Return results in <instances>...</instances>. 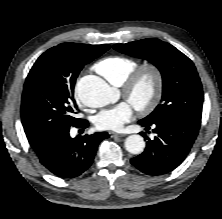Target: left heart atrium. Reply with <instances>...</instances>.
<instances>
[{
    "label": "left heart atrium",
    "instance_id": "1",
    "mask_svg": "<svg viewBox=\"0 0 222 219\" xmlns=\"http://www.w3.org/2000/svg\"><path fill=\"white\" fill-rule=\"evenodd\" d=\"M133 116L130 103L122 102L112 108L102 110L94 119L95 126L100 130L120 131L124 124Z\"/></svg>",
    "mask_w": 222,
    "mask_h": 219
}]
</instances>
